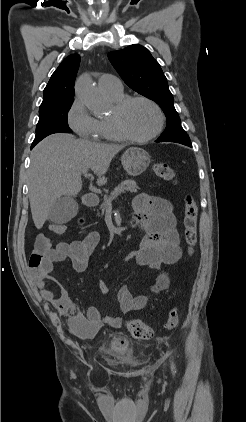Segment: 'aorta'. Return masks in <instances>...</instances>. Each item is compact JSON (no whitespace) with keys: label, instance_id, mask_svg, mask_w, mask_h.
<instances>
[{"label":"aorta","instance_id":"obj_1","mask_svg":"<svg viewBox=\"0 0 246 422\" xmlns=\"http://www.w3.org/2000/svg\"><path fill=\"white\" fill-rule=\"evenodd\" d=\"M75 92L78 99L94 114H100L104 111L102 96L99 90L94 86L90 76L85 75L77 80Z\"/></svg>","mask_w":246,"mask_h":422}]
</instances>
